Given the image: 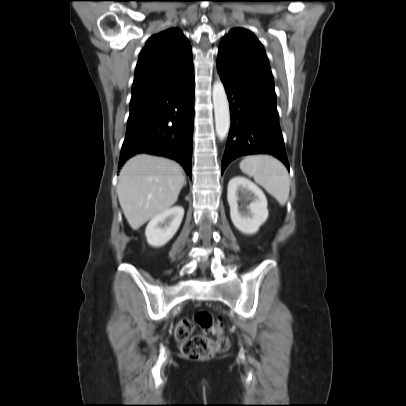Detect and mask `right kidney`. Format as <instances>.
I'll return each instance as SVG.
<instances>
[{"label": "right kidney", "mask_w": 406, "mask_h": 406, "mask_svg": "<svg viewBox=\"0 0 406 406\" xmlns=\"http://www.w3.org/2000/svg\"><path fill=\"white\" fill-rule=\"evenodd\" d=\"M183 216L184 209L175 206L153 217L145 230L148 244L153 247L165 245L177 232Z\"/></svg>", "instance_id": "right-kidney-1"}]
</instances>
